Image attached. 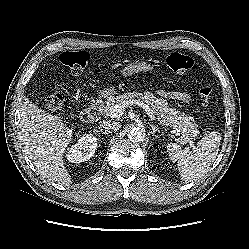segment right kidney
I'll return each instance as SVG.
<instances>
[{
  "label": "right kidney",
  "mask_w": 249,
  "mask_h": 249,
  "mask_svg": "<svg viewBox=\"0 0 249 249\" xmlns=\"http://www.w3.org/2000/svg\"><path fill=\"white\" fill-rule=\"evenodd\" d=\"M96 148L97 138L92 134H84L68 149L67 160L71 163L87 161L94 155Z\"/></svg>",
  "instance_id": "right-kidney-1"
}]
</instances>
